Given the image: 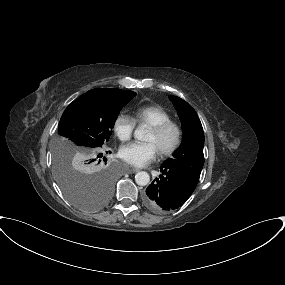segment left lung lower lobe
<instances>
[{"label": "left lung lower lobe", "instance_id": "0a47b994", "mask_svg": "<svg viewBox=\"0 0 285 285\" xmlns=\"http://www.w3.org/2000/svg\"><path fill=\"white\" fill-rule=\"evenodd\" d=\"M160 172V178L147 187L144 203L156 212L177 209L190 197L199 180L186 172L163 165Z\"/></svg>", "mask_w": 285, "mask_h": 285}]
</instances>
